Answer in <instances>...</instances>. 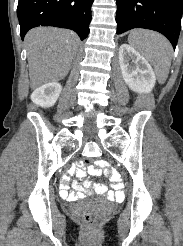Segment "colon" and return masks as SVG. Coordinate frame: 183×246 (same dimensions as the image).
<instances>
[{
	"instance_id": "1",
	"label": "colon",
	"mask_w": 183,
	"mask_h": 246,
	"mask_svg": "<svg viewBox=\"0 0 183 246\" xmlns=\"http://www.w3.org/2000/svg\"><path fill=\"white\" fill-rule=\"evenodd\" d=\"M94 157H82V165H93ZM81 221L88 227H95L98 223V215L91 210H84L79 215Z\"/></svg>"
}]
</instances>
